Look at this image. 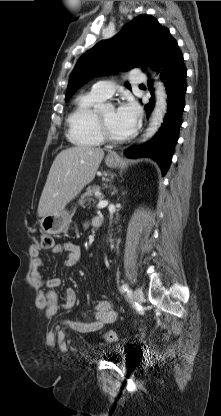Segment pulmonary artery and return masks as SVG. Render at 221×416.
I'll return each instance as SVG.
<instances>
[{
	"label": "pulmonary artery",
	"instance_id": "1",
	"mask_svg": "<svg viewBox=\"0 0 221 416\" xmlns=\"http://www.w3.org/2000/svg\"><path fill=\"white\" fill-rule=\"evenodd\" d=\"M128 73L130 82L133 84H140L147 80L146 75L143 74L142 71L139 69L129 70ZM115 88L116 84L113 81L104 80L95 83L92 86V91L106 99L112 96V94L115 91Z\"/></svg>",
	"mask_w": 221,
	"mask_h": 416
}]
</instances>
